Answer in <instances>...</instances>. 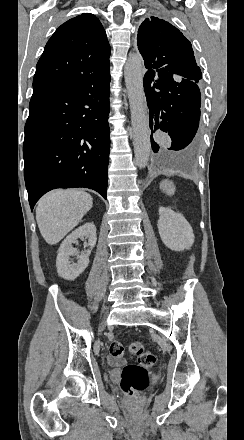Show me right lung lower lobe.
I'll return each mask as SVG.
<instances>
[{"instance_id": "98d812e1", "label": "right lung lower lobe", "mask_w": 244, "mask_h": 440, "mask_svg": "<svg viewBox=\"0 0 244 440\" xmlns=\"http://www.w3.org/2000/svg\"><path fill=\"white\" fill-rule=\"evenodd\" d=\"M109 82L106 68L33 89L23 143L31 210L55 188L85 187L107 198Z\"/></svg>"}]
</instances>
